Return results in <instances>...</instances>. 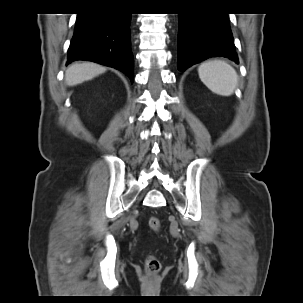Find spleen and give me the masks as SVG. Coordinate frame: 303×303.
<instances>
[{
  "instance_id": "spleen-1",
  "label": "spleen",
  "mask_w": 303,
  "mask_h": 303,
  "mask_svg": "<svg viewBox=\"0 0 303 303\" xmlns=\"http://www.w3.org/2000/svg\"><path fill=\"white\" fill-rule=\"evenodd\" d=\"M201 81L213 93L221 96H230L238 84V75L235 69L222 60H211L198 67Z\"/></svg>"
}]
</instances>
